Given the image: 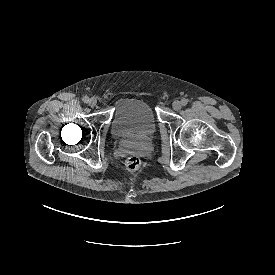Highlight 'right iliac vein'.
I'll use <instances>...</instances> for the list:
<instances>
[{"label": "right iliac vein", "instance_id": "obj_1", "mask_svg": "<svg viewBox=\"0 0 275 275\" xmlns=\"http://www.w3.org/2000/svg\"><path fill=\"white\" fill-rule=\"evenodd\" d=\"M96 105H97V100L95 98H91L89 101V106L93 108Z\"/></svg>", "mask_w": 275, "mask_h": 275}]
</instances>
